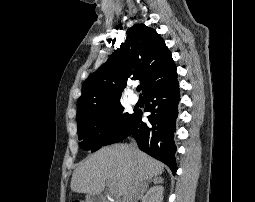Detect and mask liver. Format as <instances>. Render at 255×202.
<instances>
[{
  "label": "liver",
  "instance_id": "liver-1",
  "mask_svg": "<svg viewBox=\"0 0 255 202\" xmlns=\"http://www.w3.org/2000/svg\"><path fill=\"white\" fill-rule=\"evenodd\" d=\"M163 171L161 162L142 151L126 144H115L101 148L82 161L73 172L70 187L76 193L98 195L110 181L121 197L133 181L150 180Z\"/></svg>",
  "mask_w": 255,
  "mask_h": 202
}]
</instances>
